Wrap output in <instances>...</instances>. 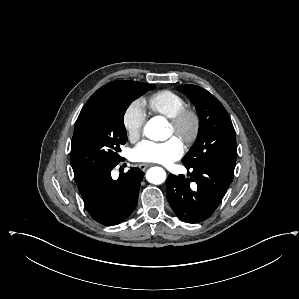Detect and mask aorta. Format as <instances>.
<instances>
[{
    "label": "aorta",
    "mask_w": 299,
    "mask_h": 299,
    "mask_svg": "<svg viewBox=\"0 0 299 299\" xmlns=\"http://www.w3.org/2000/svg\"><path fill=\"white\" fill-rule=\"evenodd\" d=\"M145 136L154 141L165 140L169 136L168 122L161 116L151 118L144 127ZM148 182L159 185L166 180V173L161 167H152L146 173Z\"/></svg>",
    "instance_id": "aorta-1"
}]
</instances>
